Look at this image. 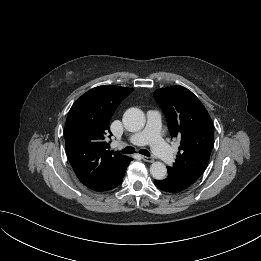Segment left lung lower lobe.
I'll list each match as a JSON object with an SVG mask.
<instances>
[{
	"instance_id": "obj_1",
	"label": "left lung lower lobe",
	"mask_w": 261,
	"mask_h": 261,
	"mask_svg": "<svg viewBox=\"0 0 261 261\" xmlns=\"http://www.w3.org/2000/svg\"><path fill=\"white\" fill-rule=\"evenodd\" d=\"M168 176L164 180H154L157 188L166 192H180L192 185V183L180 177L178 174L168 170Z\"/></svg>"
}]
</instances>
